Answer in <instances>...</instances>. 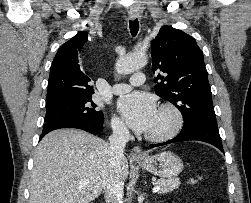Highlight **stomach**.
<instances>
[{
	"mask_svg": "<svg viewBox=\"0 0 251 203\" xmlns=\"http://www.w3.org/2000/svg\"><path fill=\"white\" fill-rule=\"evenodd\" d=\"M144 170L163 178H175L183 170L182 160L173 152L164 151L136 161Z\"/></svg>",
	"mask_w": 251,
	"mask_h": 203,
	"instance_id": "stomach-1",
	"label": "stomach"
}]
</instances>
